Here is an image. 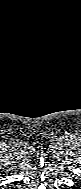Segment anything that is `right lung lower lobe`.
Returning <instances> with one entry per match:
<instances>
[{"label": "right lung lower lobe", "instance_id": "1", "mask_svg": "<svg viewBox=\"0 0 81 189\" xmlns=\"http://www.w3.org/2000/svg\"><path fill=\"white\" fill-rule=\"evenodd\" d=\"M10 187H8V189H9ZM11 189H17V188H13V187H11Z\"/></svg>", "mask_w": 81, "mask_h": 189}]
</instances>
